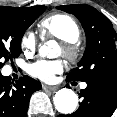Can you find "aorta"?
I'll use <instances>...</instances> for the list:
<instances>
[{
	"label": "aorta",
	"instance_id": "obj_1",
	"mask_svg": "<svg viewBox=\"0 0 117 117\" xmlns=\"http://www.w3.org/2000/svg\"><path fill=\"white\" fill-rule=\"evenodd\" d=\"M57 43L53 40L48 41L45 45L39 48V54L41 56H47L49 58L57 57L56 52L51 51L55 49ZM54 105L58 112L62 114H71L76 110L78 105V97L74 91L68 88H63L56 92L54 98Z\"/></svg>",
	"mask_w": 117,
	"mask_h": 117
}]
</instances>
